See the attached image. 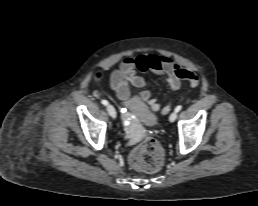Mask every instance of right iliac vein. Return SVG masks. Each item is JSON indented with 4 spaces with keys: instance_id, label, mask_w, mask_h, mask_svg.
Instances as JSON below:
<instances>
[{
    "instance_id": "obj_1",
    "label": "right iliac vein",
    "mask_w": 258,
    "mask_h": 206,
    "mask_svg": "<svg viewBox=\"0 0 258 206\" xmlns=\"http://www.w3.org/2000/svg\"><path fill=\"white\" fill-rule=\"evenodd\" d=\"M107 112H108V114H109L113 119L116 118V110H115V108H114L113 105H111V104H108V105H107Z\"/></svg>"
}]
</instances>
